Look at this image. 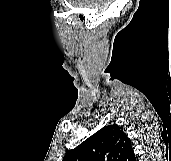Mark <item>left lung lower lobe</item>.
I'll return each instance as SVG.
<instances>
[{"mask_svg":"<svg viewBox=\"0 0 171 161\" xmlns=\"http://www.w3.org/2000/svg\"><path fill=\"white\" fill-rule=\"evenodd\" d=\"M131 161H136V157L134 156V157L131 159Z\"/></svg>","mask_w":171,"mask_h":161,"instance_id":"left-lung-lower-lobe-1","label":"left lung lower lobe"}]
</instances>
